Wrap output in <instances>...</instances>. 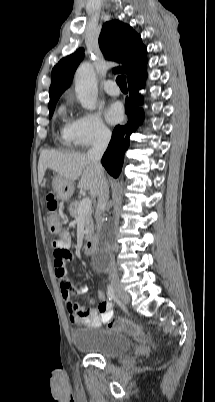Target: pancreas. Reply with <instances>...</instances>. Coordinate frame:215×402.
<instances>
[{
	"instance_id": "1",
	"label": "pancreas",
	"mask_w": 215,
	"mask_h": 402,
	"mask_svg": "<svg viewBox=\"0 0 215 402\" xmlns=\"http://www.w3.org/2000/svg\"><path fill=\"white\" fill-rule=\"evenodd\" d=\"M80 202L75 201L72 202L69 206V213L72 218H77L78 215V207ZM84 222H85V239L88 240L92 237L94 233V224L92 219V210L84 215Z\"/></svg>"
}]
</instances>
